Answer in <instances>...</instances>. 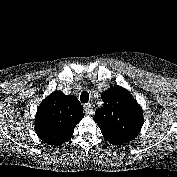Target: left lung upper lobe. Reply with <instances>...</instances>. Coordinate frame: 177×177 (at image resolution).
<instances>
[{
  "label": "left lung upper lobe",
  "instance_id": "obj_1",
  "mask_svg": "<svg viewBox=\"0 0 177 177\" xmlns=\"http://www.w3.org/2000/svg\"><path fill=\"white\" fill-rule=\"evenodd\" d=\"M103 107L97 109L94 121L104 138L114 145L132 141L143 125V112L130 92L120 86H111L103 92Z\"/></svg>",
  "mask_w": 177,
  "mask_h": 177
}]
</instances>
